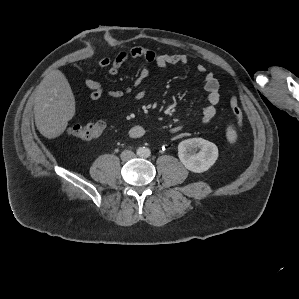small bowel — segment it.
I'll list each match as a JSON object with an SVG mask.
<instances>
[{
  "label": "small bowel",
  "instance_id": "small-bowel-1",
  "mask_svg": "<svg viewBox=\"0 0 299 299\" xmlns=\"http://www.w3.org/2000/svg\"><path fill=\"white\" fill-rule=\"evenodd\" d=\"M130 59H144L147 64L144 65L137 73L132 85L124 90H110L107 95L111 98L118 99L130 93H135L136 99H142L146 91L140 89L142 83L149 77L151 73V65L163 69L168 65L187 64L188 57L185 54H157L154 51L144 47H133L129 51L118 53L115 57H103L99 60V66L107 69L112 76L116 75L120 68ZM198 73L204 76V90L207 95L208 105L201 111V120L204 124L210 123L217 114V105L220 102L221 95L219 91V82L214 74L206 69L202 64L196 67ZM86 87L90 90V99L99 100L103 95L102 85L93 78H86ZM182 126L172 128V132L180 131ZM129 134L132 138L138 139L144 136L145 129L141 125H134L130 128Z\"/></svg>",
  "mask_w": 299,
  "mask_h": 299
}]
</instances>
